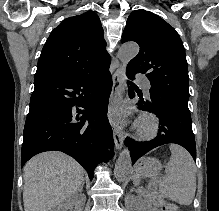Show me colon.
<instances>
[{"label": "colon", "mask_w": 219, "mask_h": 211, "mask_svg": "<svg viewBox=\"0 0 219 211\" xmlns=\"http://www.w3.org/2000/svg\"><path fill=\"white\" fill-rule=\"evenodd\" d=\"M161 209L162 211H179L175 204L169 202H164L161 206Z\"/></svg>", "instance_id": "colon-1"}]
</instances>
